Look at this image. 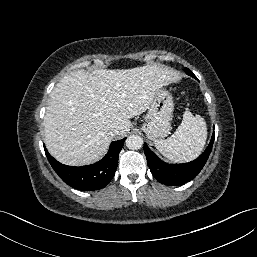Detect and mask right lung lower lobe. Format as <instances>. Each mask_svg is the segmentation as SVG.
<instances>
[{"instance_id": "98d812e1", "label": "right lung lower lobe", "mask_w": 257, "mask_h": 257, "mask_svg": "<svg viewBox=\"0 0 257 257\" xmlns=\"http://www.w3.org/2000/svg\"><path fill=\"white\" fill-rule=\"evenodd\" d=\"M125 140L126 138L112 142L108 153L102 160L81 167L61 164L48 153L45 146L44 149L52 168L66 184L78 190L93 191L107 186L115 175L119 153Z\"/></svg>"}]
</instances>
